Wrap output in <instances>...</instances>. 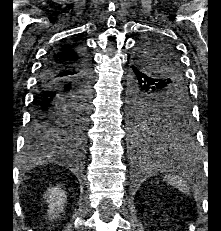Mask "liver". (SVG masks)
Here are the masks:
<instances>
[{
    "instance_id": "6515ba94",
    "label": "liver",
    "mask_w": 221,
    "mask_h": 231,
    "mask_svg": "<svg viewBox=\"0 0 221 231\" xmlns=\"http://www.w3.org/2000/svg\"><path fill=\"white\" fill-rule=\"evenodd\" d=\"M54 156V152H49V153H45V154H40V156L37 158L38 161H41L43 159H49L50 157Z\"/></svg>"
}]
</instances>
